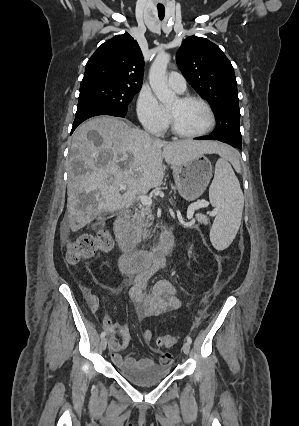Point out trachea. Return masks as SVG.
<instances>
[{
    "label": "trachea",
    "instance_id": "trachea-1",
    "mask_svg": "<svg viewBox=\"0 0 299 426\" xmlns=\"http://www.w3.org/2000/svg\"><path fill=\"white\" fill-rule=\"evenodd\" d=\"M158 16L160 20H163L165 16V8L164 7H158Z\"/></svg>",
    "mask_w": 299,
    "mask_h": 426
}]
</instances>
